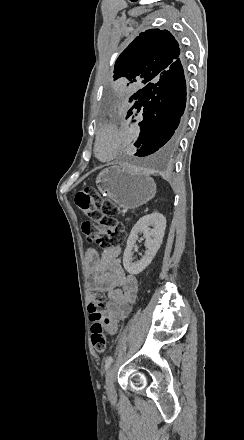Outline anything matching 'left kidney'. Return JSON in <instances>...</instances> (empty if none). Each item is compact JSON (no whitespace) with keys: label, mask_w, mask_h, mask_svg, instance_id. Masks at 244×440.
Masks as SVG:
<instances>
[{"label":"left kidney","mask_w":244,"mask_h":440,"mask_svg":"<svg viewBox=\"0 0 244 440\" xmlns=\"http://www.w3.org/2000/svg\"><path fill=\"white\" fill-rule=\"evenodd\" d=\"M149 226H153L152 230ZM166 228V218L158 212H153L149 216H143L138 220L137 224L133 226L131 234L127 240V248L123 254V266L129 274H140L149 264H151L155 254H157L164 238ZM138 234H144L146 238L145 246L147 248L141 260L133 262L132 250L136 244Z\"/></svg>","instance_id":"obj_1"}]
</instances>
